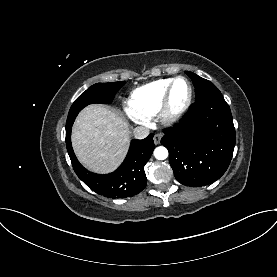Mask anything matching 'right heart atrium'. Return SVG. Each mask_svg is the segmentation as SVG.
I'll list each match as a JSON object with an SVG mask.
<instances>
[{"instance_id":"right-heart-atrium-1","label":"right heart atrium","mask_w":277,"mask_h":277,"mask_svg":"<svg viewBox=\"0 0 277 277\" xmlns=\"http://www.w3.org/2000/svg\"><path fill=\"white\" fill-rule=\"evenodd\" d=\"M127 115L128 117L139 124H145L147 122V117H144L138 113L133 112L132 110H130L129 108L127 109Z\"/></svg>"}]
</instances>
